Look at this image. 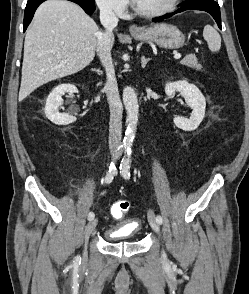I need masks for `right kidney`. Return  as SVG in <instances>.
Wrapping results in <instances>:
<instances>
[{
    "instance_id": "ca27d5eb",
    "label": "right kidney",
    "mask_w": 249,
    "mask_h": 294,
    "mask_svg": "<svg viewBox=\"0 0 249 294\" xmlns=\"http://www.w3.org/2000/svg\"><path fill=\"white\" fill-rule=\"evenodd\" d=\"M78 92L77 88L72 84H61L55 87L49 94L46 105L45 114L46 117L56 125H68L76 121V117L73 116V112L60 113L59 107L63 104L62 95L65 93Z\"/></svg>"
}]
</instances>
